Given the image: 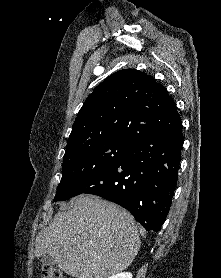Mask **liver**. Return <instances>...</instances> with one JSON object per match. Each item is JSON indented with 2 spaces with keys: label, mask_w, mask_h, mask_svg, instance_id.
<instances>
[{
  "label": "liver",
  "mask_w": 221,
  "mask_h": 278,
  "mask_svg": "<svg viewBox=\"0 0 221 278\" xmlns=\"http://www.w3.org/2000/svg\"><path fill=\"white\" fill-rule=\"evenodd\" d=\"M140 244L128 211L97 196L80 195L39 233L35 255H51L74 278H109L133 262Z\"/></svg>",
  "instance_id": "6515ba94"
}]
</instances>
